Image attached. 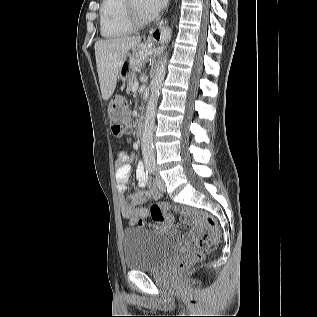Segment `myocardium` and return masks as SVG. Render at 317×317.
Here are the masks:
<instances>
[{
	"mask_svg": "<svg viewBox=\"0 0 317 317\" xmlns=\"http://www.w3.org/2000/svg\"><path fill=\"white\" fill-rule=\"evenodd\" d=\"M125 10L127 18L134 29H140L147 26L151 18L141 16L132 5V0H125Z\"/></svg>",
	"mask_w": 317,
	"mask_h": 317,
	"instance_id": "f54148a6",
	"label": "myocardium"
}]
</instances>
